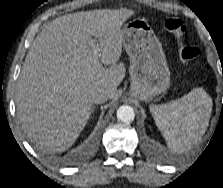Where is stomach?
Segmentation results:
<instances>
[{
    "label": "stomach",
    "instance_id": "0dacf381",
    "mask_svg": "<svg viewBox=\"0 0 223 188\" xmlns=\"http://www.w3.org/2000/svg\"><path fill=\"white\" fill-rule=\"evenodd\" d=\"M122 44L130 57V95L150 101L169 88L170 71L159 39L144 19L121 28Z\"/></svg>",
    "mask_w": 223,
    "mask_h": 188
}]
</instances>
